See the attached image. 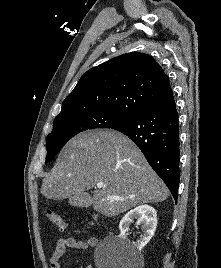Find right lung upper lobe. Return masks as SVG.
<instances>
[{"mask_svg": "<svg viewBox=\"0 0 221 268\" xmlns=\"http://www.w3.org/2000/svg\"><path fill=\"white\" fill-rule=\"evenodd\" d=\"M174 102L167 75L149 55L127 53L88 70L60 114L106 109L133 119Z\"/></svg>", "mask_w": 221, "mask_h": 268, "instance_id": "cb5924a9", "label": "right lung upper lobe"}]
</instances>
